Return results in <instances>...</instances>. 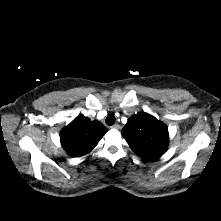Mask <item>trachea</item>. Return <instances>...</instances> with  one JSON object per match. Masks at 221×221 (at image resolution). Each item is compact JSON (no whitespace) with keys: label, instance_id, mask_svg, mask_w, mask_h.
Returning a JSON list of instances; mask_svg holds the SVG:
<instances>
[{"label":"trachea","instance_id":"1","mask_svg":"<svg viewBox=\"0 0 221 221\" xmlns=\"http://www.w3.org/2000/svg\"><path fill=\"white\" fill-rule=\"evenodd\" d=\"M115 120L116 119H115V117L113 115H109L106 118L105 122H106L107 125L111 126V125H113L115 123Z\"/></svg>","mask_w":221,"mask_h":221}]
</instances>
